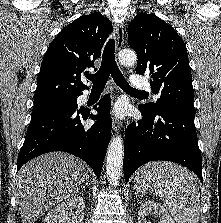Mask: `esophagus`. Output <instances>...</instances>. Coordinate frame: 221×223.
<instances>
[{
    "mask_svg": "<svg viewBox=\"0 0 221 223\" xmlns=\"http://www.w3.org/2000/svg\"><path fill=\"white\" fill-rule=\"evenodd\" d=\"M115 31H116V49L119 51L124 42V24L116 23L115 24ZM122 127V123L117 118L112 119V128L115 132H119Z\"/></svg>",
    "mask_w": 221,
    "mask_h": 223,
    "instance_id": "esophagus-1",
    "label": "esophagus"
}]
</instances>
